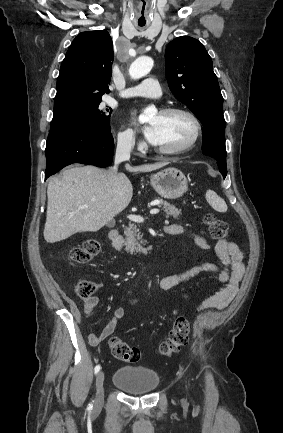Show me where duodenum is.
<instances>
[{"instance_id":"410a0bca","label":"duodenum","mask_w":283,"mask_h":433,"mask_svg":"<svg viewBox=\"0 0 283 433\" xmlns=\"http://www.w3.org/2000/svg\"><path fill=\"white\" fill-rule=\"evenodd\" d=\"M108 239L114 247H119L121 245V235L116 229H113L108 233Z\"/></svg>"}]
</instances>
